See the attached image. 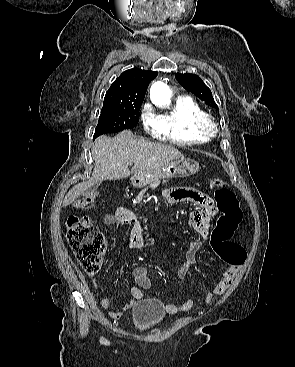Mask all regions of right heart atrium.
<instances>
[{"label": "right heart atrium", "mask_w": 295, "mask_h": 367, "mask_svg": "<svg viewBox=\"0 0 295 367\" xmlns=\"http://www.w3.org/2000/svg\"><path fill=\"white\" fill-rule=\"evenodd\" d=\"M141 119L145 130L150 134L157 136L159 133V125L149 105L144 106Z\"/></svg>", "instance_id": "1"}]
</instances>
